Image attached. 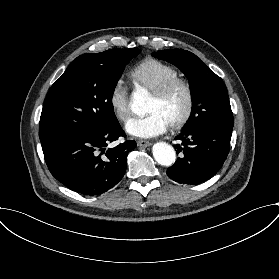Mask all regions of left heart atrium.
I'll list each match as a JSON object with an SVG mask.
<instances>
[{
	"instance_id": "1",
	"label": "left heart atrium",
	"mask_w": 279,
	"mask_h": 279,
	"mask_svg": "<svg viewBox=\"0 0 279 279\" xmlns=\"http://www.w3.org/2000/svg\"><path fill=\"white\" fill-rule=\"evenodd\" d=\"M170 124L159 112H150L145 117H136L129 120L126 124V131L137 138L151 139L166 132Z\"/></svg>"
}]
</instances>
